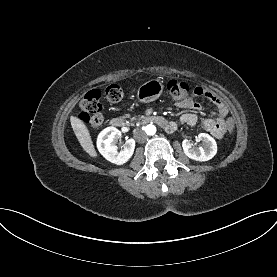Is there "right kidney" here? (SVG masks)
<instances>
[{"label":"right kidney","instance_id":"1","mask_svg":"<svg viewBox=\"0 0 277 277\" xmlns=\"http://www.w3.org/2000/svg\"><path fill=\"white\" fill-rule=\"evenodd\" d=\"M121 138V131L115 127H107L98 135L97 147L99 152L110 162L122 165L133 155L135 140L129 139L125 142L124 149L117 150L116 143Z\"/></svg>","mask_w":277,"mask_h":277}]
</instances>
